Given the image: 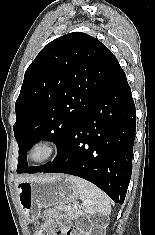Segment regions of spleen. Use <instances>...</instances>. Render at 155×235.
<instances>
[{"label":"spleen","mask_w":155,"mask_h":235,"mask_svg":"<svg viewBox=\"0 0 155 235\" xmlns=\"http://www.w3.org/2000/svg\"><path fill=\"white\" fill-rule=\"evenodd\" d=\"M78 190L82 200V210L90 215L102 214L108 216L111 214V204L109 197L95 185L75 176L70 177Z\"/></svg>","instance_id":"spleen-1"}]
</instances>
